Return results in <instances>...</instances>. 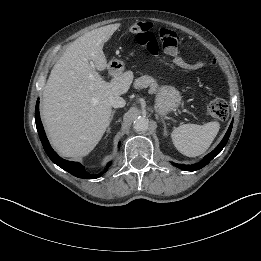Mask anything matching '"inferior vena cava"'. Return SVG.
Listing matches in <instances>:
<instances>
[{
  "instance_id": "inferior-vena-cava-1",
  "label": "inferior vena cava",
  "mask_w": 261,
  "mask_h": 261,
  "mask_svg": "<svg viewBox=\"0 0 261 261\" xmlns=\"http://www.w3.org/2000/svg\"><path fill=\"white\" fill-rule=\"evenodd\" d=\"M110 104L114 108H122L125 106L126 102L120 96H112L109 100Z\"/></svg>"
}]
</instances>
